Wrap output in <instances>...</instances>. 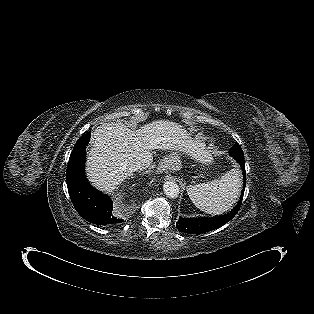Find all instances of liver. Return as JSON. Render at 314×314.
<instances>
[{
  "instance_id": "liver-1",
  "label": "liver",
  "mask_w": 314,
  "mask_h": 314,
  "mask_svg": "<svg viewBox=\"0 0 314 314\" xmlns=\"http://www.w3.org/2000/svg\"><path fill=\"white\" fill-rule=\"evenodd\" d=\"M198 144L181 125L167 120L153 121L136 131L121 123H104L93 132L87 175L97 188L112 192L131 173L129 164L141 162L146 169L153 162L152 150L193 154Z\"/></svg>"
}]
</instances>
